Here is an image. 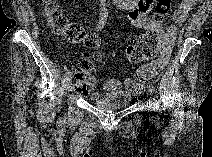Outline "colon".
I'll use <instances>...</instances> for the list:
<instances>
[{
    "label": "colon",
    "mask_w": 212,
    "mask_h": 157,
    "mask_svg": "<svg viewBox=\"0 0 212 157\" xmlns=\"http://www.w3.org/2000/svg\"><path fill=\"white\" fill-rule=\"evenodd\" d=\"M173 0H159L151 15L152 26L140 35L125 51L130 64H138L154 58L161 48L165 33L162 24L173 7ZM44 17L51 29L71 43H83L89 49H97L99 40L87 35L78 23L68 20L54 1L45 2ZM169 38L168 35H165ZM97 82L96 69L92 60L84 58L75 72V89L78 93H88Z\"/></svg>",
    "instance_id": "obj_1"
}]
</instances>
